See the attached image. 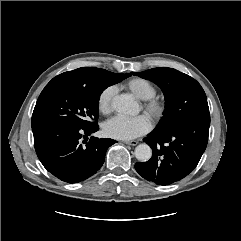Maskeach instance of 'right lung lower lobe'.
I'll return each instance as SVG.
<instances>
[{"label":"right lung lower lobe","mask_w":241,"mask_h":241,"mask_svg":"<svg viewBox=\"0 0 241 241\" xmlns=\"http://www.w3.org/2000/svg\"><path fill=\"white\" fill-rule=\"evenodd\" d=\"M98 129V126L84 129L63 123L34 127L37 156L46 170L58 179L67 183L83 181L101 168L107 149L116 142L95 137L87 142V137ZM81 142L87 143L82 145Z\"/></svg>","instance_id":"right-lung-lower-lobe-1"}]
</instances>
